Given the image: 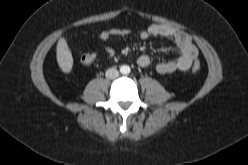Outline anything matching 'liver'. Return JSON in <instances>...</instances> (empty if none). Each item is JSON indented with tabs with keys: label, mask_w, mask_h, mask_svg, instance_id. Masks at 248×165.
Listing matches in <instances>:
<instances>
[{
	"label": "liver",
	"mask_w": 248,
	"mask_h": 165,
	"mask_svg": "<svg viewBox=\"0 0 248 165\" xmlns=\"http://www.w3.org/2000/svg\"><path fill=\"white\" fill-rule=\"evenodd\" d=\"M56 58L60 69L64 73H69L72 70L73 57L64 37H60L57 42Z\"/></svg>",
	"instance_id": "1"
}]
</instances>
